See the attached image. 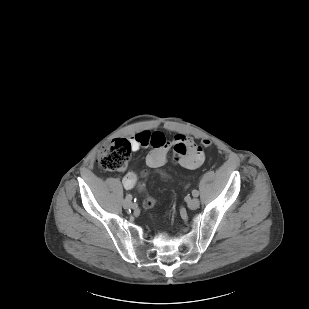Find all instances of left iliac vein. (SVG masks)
<instances>
[{
  "label": "left iliac vein",
  "mask_w": 309,
  "mask_h": 309,
  "mask_svg": "<svg viewBox=\"0 0 309 309\" xmlns=\"http://www.w3.org/2000/svg\"><path fill=\"white\" fill-rule=\"evenodd\" d=\"M187 205H188V208L195 210L200 206V200L197 198H193L188 201Z\"/></svg>",
  "instance_id": "4c4485c4"
}]
</instances>
